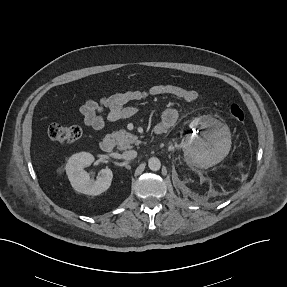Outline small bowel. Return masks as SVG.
<instances>
[{"instance_id": "small-bowel-1", "label": "small bowel", "mask_w": 287, "mask_h": 287, "mask_svg": "<svg viewBox=\"0 0 287 287\" xmlns=\"http://www.w3.org/2000/svg\"><path fill=\"white\" fill-rule=\"evenodd\" d=\"M170 96L187 103L198 99V92L175 84H154L146 89L127 90L110 96H103L98 100H87L79 108L84 124L96 131H102L107 122H117L130 117L137 112L133 104L149 98ZM178 120L175 108L165 109L155 128L162 126L164 131L172 127Z\"/></svg>"}]
</instances>
